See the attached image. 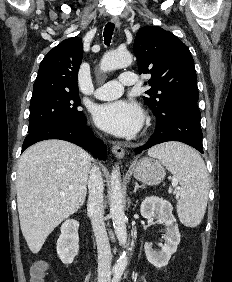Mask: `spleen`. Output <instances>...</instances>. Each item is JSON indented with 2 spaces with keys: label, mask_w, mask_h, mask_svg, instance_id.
I'll return each mask as SVG.
<instances>
[{
  "label": "spleen",
  "mask_w": 232,
  "mask_h": 282,
  "mask_svg": "<svg viewBox=\"0 0 232 282\" xmlns=\"http://www.w3.org/2000/svg\"><path fill=\"white\" fill-rule=\"evenodd\" d=\"M148 155L158 158L181 185L178 217L185 226L196 227L204 217L209 191L208 173L201 156L181 143L151 148Z\"/></svg>",
  "instance_id": "3e777b00"
}]
</instances>
